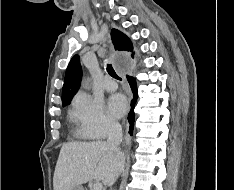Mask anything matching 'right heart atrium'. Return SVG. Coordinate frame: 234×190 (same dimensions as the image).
<instances>
[{
    "label": "right heart atrium",
    "instance_id": "d8ad5b80",
    "mask_svg": "<svg viewBox=\"0 0 234 190\" xmlns=\"http://www.w3.org/2000/svg\"><path fill=\"white\" fill-rule=\"evenodd\" d=\"M70 117L79 135L88 139H101L118 129V123L108 115L103 103L83 92L74 96Z\"/></svg>",
    "mask_w": 234,
    "mask_h": 190
}]
</instances>
